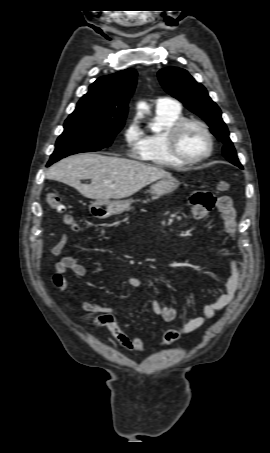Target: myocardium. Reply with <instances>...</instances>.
I'll list each match as a JSON object with an SVG mask.
<instances>
[{
  "mask_svg": "<svg viewBox=\"0 0 270 453\" xmlns=\"http://www.w3.org/2000/svg\"><path fill=\"white\" fill-rule=\"evenodd\" d=\"M189 125H195L199 127L205 134L208 141L207 151L202 156L197 158L186 157L179 150L180 134L184 130V128ZM166 145L170 155L176 161L182 164H198L205 161L212 155L214 150V139L210 129L203 121L195 118H182L169 129L166 135Z\"/></svg>",
  "mask_w": 270,
  "mask_h": 453,
  "instance_id": "f54148a6",
  "label": "myocardium"
}]
</instances>
